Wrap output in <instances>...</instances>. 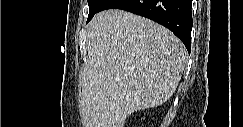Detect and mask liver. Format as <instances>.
Masks as SVG:
<instances>
[{"mask_svg":"<svg viewBox=\"0 0 243 127\" xmlns=\"http://www.w3.org/2000/svg\"><path fill=\"white\" fill-rule=\"evenodd\" d=\"M82 73L85 127H124L134 111L160 106L176 91L187 50L165 27L122 10L97 13L87 27Z\"/></svg>","mask_w":243,"mask_h":127,"instance_id":"liver-1","label":"liver"}]
</instances>
